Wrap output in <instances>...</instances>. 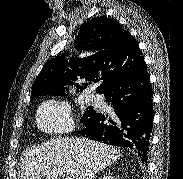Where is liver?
Listing matches in <instances>:
<instances>
[{"label":"liver","mask_w":183,"mask_h":179,"mask_svg":"<svg viewBox=\"0 0 183 179\" xmlns=\"http://www.w3.org/2000/svg\"><path fill=\"white\" fill-rule=\"evenodd\" d=\"M112 146L83 138H56L31 146L23 153L21 179H94L95 174L120 159Z\"/></svg>","instance_id":"6515ba94"}]
</instances>
